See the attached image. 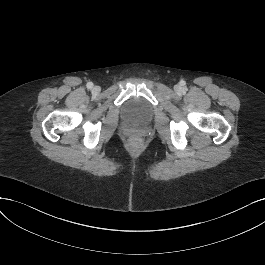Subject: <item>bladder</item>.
I'll return each mask as SVG.
<instances>
[{"mask_svg": "<svg viewBox=\"0 0 265 265\" xmlns=\"http://www.w3.org/2000/svg\"><path fill=\"white\" fill-rule=\"evenodd\" d=\"M131 119H145L149 116V110L143 101L133 100L129 103L127 109Z\"/></svg>", "mask_w": 265, "mask_h": 265, "instance_id": "1", "label": "bladder"}]
</instances>
